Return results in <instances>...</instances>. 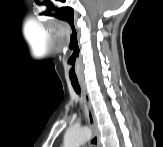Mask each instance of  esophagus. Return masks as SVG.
<instances>
[{"mask_svg":"<svg viewBox=\"0 0 163 147\" xmlns=\"http://www.w3.org/2000/svg\"><path fill=\"white\" fill-rule=\"evenodd\" d=\"M81 87L83 91L85 105H86L87 112H88L89 125L92 129V137H91L90 142L93 147H99L100 146L99 129H98V125H97L94 112L92 110L90 96L86 90V86L84 85V83H81Z\"/></svg>","mask_w":163,"mask_h":147,"instance_id":"esophagus-1","label":"esophagus"}]
</instances>
